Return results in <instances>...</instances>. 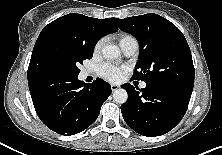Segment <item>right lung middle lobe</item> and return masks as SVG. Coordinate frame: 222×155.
Segmentation results:
<instances>
[{
  "label": "right lung middle lobe",
  "instance_id": "obj_1",
  "mask_svg": "<svg viewBox=\"0 0 222 155\" xmlns=\"http://www.w3.org/2000/svg\"><path fill=\"white\" fill-rule=\"evenodd\" d=\"M94 46L90 31L64 26L44 36L38 54L43 66L56 78H75L83 60L92 58Z\"/></svg>",
  "mask_w": 222,
  "mask_h": 155
}]
</instances>
